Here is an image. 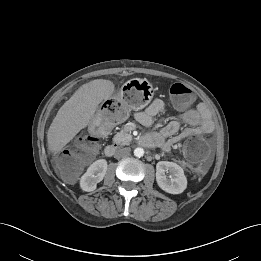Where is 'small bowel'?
Masks as SVG:
<instances>
[{
	"instance_id": "c3829d8e",
	"label": "small bowel",
	"mask_w": 261,
	"mask_h": 261,
	"mask_svg": "<svg viewBox=\"0 0 261 261\" xmlns=\"http://www.w3.org/2000/svg\"><path fill=\"white\" fill-rule=\"evenodd\" d=\"M165 110V103L161 99H155L145 110L137 112L135 118L143 126L152 127L155 117ZM182 120L187 125L186 128L181 129L178 121H170L158 133L151 135L153 144L164 152H170L178 141L200 134H210L214 128L210 115L202 105L185 111Z\"/></svg>"
}]
</instances>
